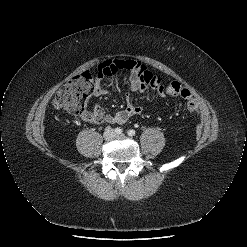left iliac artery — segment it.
I'll use <instances>...</instances> for the list:
<instances>
[{
	"label": "left iliac artery",
	"instance_id": "left-iliac-artery-1",
	"mask_svg": "<svg viewBox=\"0 0 247 247\" xmlns=\"http://www.w3.org/2000/svg\"><path fill=\"white\" fill-rule=\"evenodd\" d=\"M127 134H128L129 136H134V135L136 134V131L133 130V129H130V130H128Z\"/></svg>",
	"mask_w": 247,
	"mask_h": 247
}]
</instances>
